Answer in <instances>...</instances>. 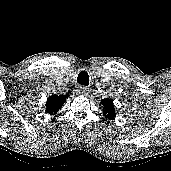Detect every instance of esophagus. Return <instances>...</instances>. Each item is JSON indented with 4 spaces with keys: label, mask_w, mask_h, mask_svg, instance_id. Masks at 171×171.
Instances as JSON below:
<instances>
[{
    "label": "esophagus",
    "mask_w": 171,
    "mask_h": 171,
    "mask_svg": "<svg viewBox=\"0 0 171 171\" xmlns=\"http://www.w3.org/2000/svg\"><path fill=\"white\" fill-rule=\"evenodd\" d=\"M79 95L86 96L88 94V88L85 86L79 87L77 90Z\"/></svg>",
    "instance_id": "esophagus-1"
}]
</instances>
